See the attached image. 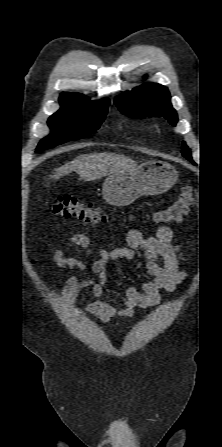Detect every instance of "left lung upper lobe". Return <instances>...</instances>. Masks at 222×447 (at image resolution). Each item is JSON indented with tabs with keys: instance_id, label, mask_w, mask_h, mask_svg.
Here are the masks:
<instances>
[{
	"instance_id": "5c2ea615",
	"label": "left lung upper lobe",
	"mask_w": 222,
	"mask_h": 447,
	"mask_svg": "<svg viewBox=\"0 0 222 447\" xmlns=\"http://www.w3.org/2000/svg\"><path fill=\"white\" fill-rule=\"evenodd\" d=\"M118 108L131 117L163 116L175 126L177 113L171 105L170 93L163 85L147 83L124 93L115 100ZM182 154L192 161L190 149L183 144Z\"/></svg>"
}]
</instances>
